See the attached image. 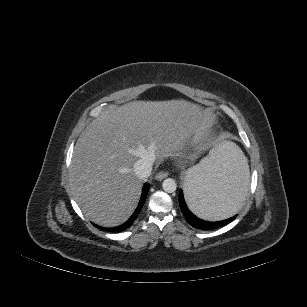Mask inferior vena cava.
Returning <instances> with one entry per match:
<instances>
[{
    "label": "inferior vena cava",
    "mask_w": 307,
    "mask_h": 307,
    "mask_svg": "<svg viewBox=\"0 0 307 307\" xmlns=\"http://www.w3.org/2000/svg\"><path fill=\"white\" fill-rule=\"evenodd\" d=\"M154 160L155 156L152 154L148 155L146 158L137 160L133 166L135 175L140 179L148 178L151 174Z\"/></svg>",
    "instance_id": "inferior-vena-cava-1"
}]
</instances>
